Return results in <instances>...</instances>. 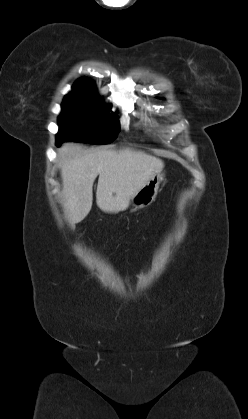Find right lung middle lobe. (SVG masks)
I'll use <instances>...</instances> for the list:
<instances>
[{
  "instance_id": "dd1d6c3e",
  "label": "right lung middle lobe",
  "mask_w": 248,
  "mask_h": 419,
  "mask_svg": "<svg viewBox=\"0 0 248 419\" xmlns=\"http://www.w3.org/2000/svg\"><path fill=\"white\" fill-rule=\"evenodd\" d=\"M61 107L57 145L69 140L106 144L120 131L118 114L109 115L103 102L66 96Z\"/></svg>"
}]
</instances>
